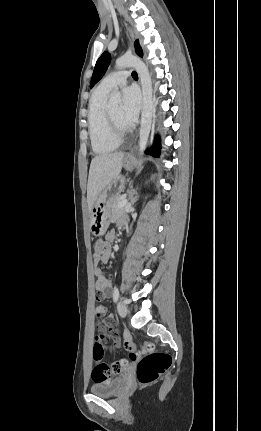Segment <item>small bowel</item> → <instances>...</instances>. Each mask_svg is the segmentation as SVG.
<instances>
[{
  "instance_id": "c3829d8e",
  "label": "small bowel",
  "mask_w": 261,
  "mask_h": 431,
  "mask_svg": "<svg viewBox=\"0 0 261 431\" xmlns=\"http://www.w3.org/2000/svg\"><path fill=\"white\" fill-rule=\"evenodd\" d=\"M120 223L124 222V219L119 220ZM115 239V233L113 231L107 233L106 240L108 242H112ZM96 261H101L103 263H107L110 260V254L107 253L106 255L95 258ZM94 274L96 276V294L94 295L95 303L97 304L94 309L95 316V328H96V335L95 340L99 344H104L106 341L107 336H111L113 338V345L119 346V337L117 334L116 329L112 326L111 318L109 317V320L106 321V314L108 313V310L104 307V304L106 303L107 298H110L112 295V284L111 280L106 277L103 274V271L99 266L94 267ZM124 348L130 352V354H135V352L138 350V345L133 343L131 340V337L129 334H125L124 336ZM126 366V364H124Z\"/></svg>"
}]
</instances>
